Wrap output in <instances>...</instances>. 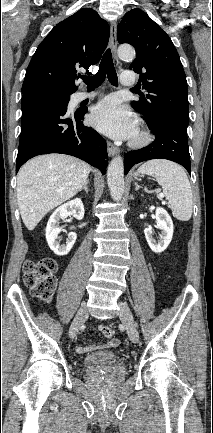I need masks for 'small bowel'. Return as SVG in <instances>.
<instances>
[{
  "label": "small bowel",
  "mask_w": 213,
  "mask_h": 433,
  "mask_svg": "<svg viewBox=\"0 0 213 433\" xmlns=\"http://www.w3.org/2000/svg\"><path fill=\"white\" fill-rule=\"evenodd\" d=\"M118 345H119V340L113 339V340L101 345L100 347H102V348H114V347H117ZM97 347L98 346H94V345H85V346L78 345V346H76V351L78 353L83 354V353H87L89 351H92Z\"/></svg>",
  "instance_id": "1"
}]
</instances>
